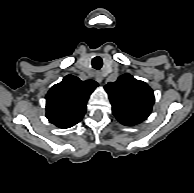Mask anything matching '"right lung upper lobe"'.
Wrapping results in <instances>:
<instances>
[{
    "label": "right lung upper lobe",
    "mask_w": 194,
    "mask_h": 193,
    "mask_svg": "<svg viewBox=\"0 0 194 193\" xmlns=\"http://www.w3.org/2000/svg\"><path fill=\"white\" fill-rule=\"evenodd\" d=\"M98 84L93 80L81 81L67 75L46 95V117L59 128L77 124L86 112V102Z\"/></svg>",
    "instance_id": "right-lung-upper-lobe-1"
}]
</instances>
